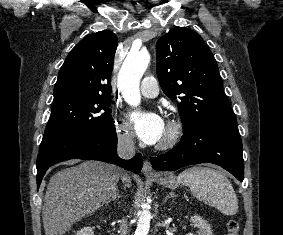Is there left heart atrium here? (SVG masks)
<instances>
[{
  "label": "left heart atrium",
  "mask_w": 283,
  "mask_h": 235,
  "mask_svg": "<svg viewBox=\"0 0 283 235\" xmlns=\"http://www.w3.org/2000/svg\"><path fill=\"white\" fill-rule=\"evenodd\" d=\"M130 118L139 138L147 144L158 143L166 129L163 119L156 113L133 111Z\"/></svg>",
  "instance_id": "39dd6f15"
}]
</instances>
